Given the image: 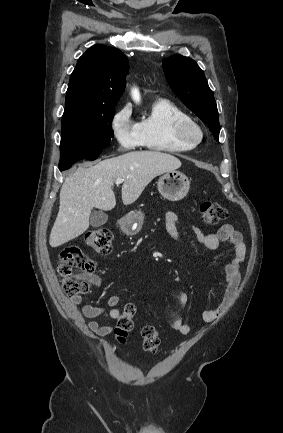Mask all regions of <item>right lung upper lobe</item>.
Wrapping results in <instances>:
<instances>
[{"mask_svg":"<svg viewBox=\"0 0 283 433\" xmlns=\"http://www.w3.org/2000/svg\"><path fill=\"white\" fill-rule=\"evenodd\" d=\"M128 59L119 49L96 44L78 60L66 92L65 109L116 104L125 88Z\"/></svg>","mask_w":283,"mask_h":433,"instance_id":"obj_1","label":"right lung upper lobe"}]
</instances>
